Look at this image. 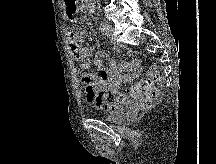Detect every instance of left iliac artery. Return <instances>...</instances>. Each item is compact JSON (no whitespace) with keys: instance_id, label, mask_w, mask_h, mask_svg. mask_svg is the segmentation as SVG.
Returning <instances> with one entry per match:
<instances>
[{"instance_id":"left-iliac-artery-1","label":"left iliac artery","mask_w":216,"mask_h":164,"mask_svg":"<svg viewBox=\"0 0 216 164\" xmlns=\"http://www.w3.org/2000/svg\"><path fill=\"white\" fill-rule=\"evenodd\" d=\"M99 29L103 34H106L108 30L107 25L104 22L99 23Z\"/></svg>"}]
</instances>
